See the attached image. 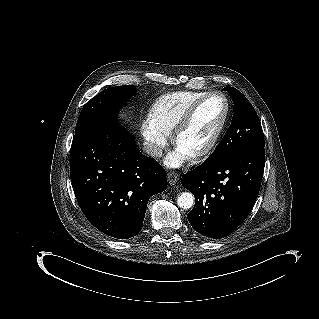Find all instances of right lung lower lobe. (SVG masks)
<instances>
[{"instance_id":"98d812e1","label":"right lung lower lobe","mask_w":319,"mask_h":319,"mask_svg":"<svg viewBox=\"0 0 319 319\" xmlns=\"http://www.w3.org/2000/svg\"><path fill=\"white\" fill-rule=\"evenodd\" d=\"M70 177L86 218L117 239L139 233L149 198L167 187L165 170L143 155L134 137L119 124L74 136Z\"/></svg>"}]
</instances>
